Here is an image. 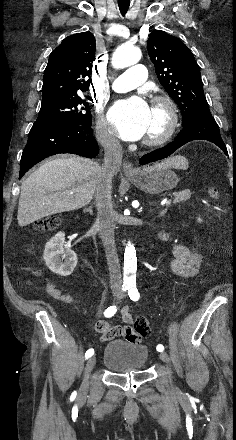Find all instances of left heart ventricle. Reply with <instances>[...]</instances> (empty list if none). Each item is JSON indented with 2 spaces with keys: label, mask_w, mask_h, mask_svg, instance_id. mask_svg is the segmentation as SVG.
Segmentation results:
<instances>
[{
  "label": "left heart ventricle",
  "mask_w": 236,
  "mask_h": 440,
  "mask_svg": "<svg viewBox=\"0 0 236 440\" xmlns=\"http://www.w3.org/2000/svg\"><path fill=\"white\" fill-rule=\"evenodd\" d=\"M166 117L163 109L152 108L151 109V120L149 127L146 132V136L156 135L162 131L165 126Z\"/></svg>",
  "instance_id": "left-heart-ventricle-1"
}]
</instances>
